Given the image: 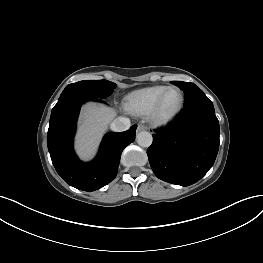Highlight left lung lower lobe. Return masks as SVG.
Listing matches in <instances>:
<instances>
[{
    "label": "left lung lower lobe",
    "mask_w": 263,
    "mask_h": 263,
    "mask_svg": "<svg viewBox=\"0 0 263 263\" xmlns=\"http://www.w3.org/2000/svg\"><path fill=\"white\" fill-rule=\"evenodd\" d=\"M219 135V122L207 97L185 105L174 123L154 130L147 150L153 172L168 183H196L214 164Z\"/></svg>",
    "instance_id": "1"
}]
</instances>
